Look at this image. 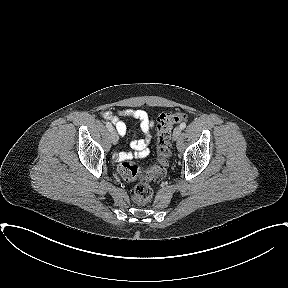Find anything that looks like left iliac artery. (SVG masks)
<instances>
[{
  "label": "left iliac artery",
  "instance_id": "44dca946",
  "mask_svg": "<svg viewBox=\"0 0 288 288\" xmlns=\"http://www.w3.org/2000/svg\"><path fill=\"white\" fill-rule=\"evenodd\" d=\"M185 127H186V123L183 122V123L180 124V128L181 129H184Z\"/></svg>",
  "mask_w": 288,
  "mask_h": 288
}]
</instances>
